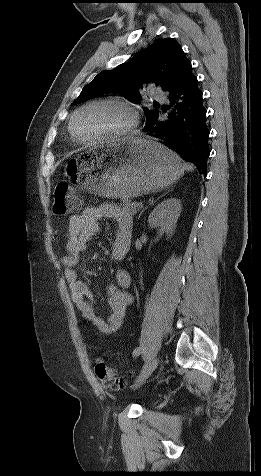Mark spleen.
<instances>
[{"label": "spleen", "instance_id": "spleen-1", "mask_svg": "<svg viewBox=\"0 0 261 476\" xmlns=\"http://www.w3.org/2000/svg\"><path fill=\"white\" fill-rule=\"evenodd\" d=\"M184 169L187 170V171H192L193 170V166L191 164H187V163H184Z\"/></svg>", "mask_w": 261, "mask_h": 476}]
</instances>
